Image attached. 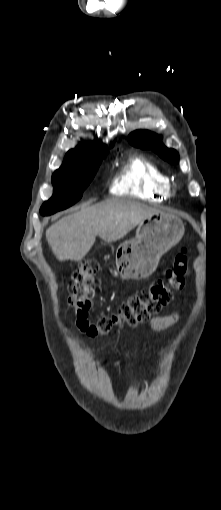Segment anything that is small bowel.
I'll return each instance as SVG.
<instances>
[{"mask_svg": "<svg viewBox=\"0 0 221 510\" xmlns=\"http://www.w3.org/2000/svg\"><path fill=\"white\" fill-rule=\"evenodd\" d=\"M178 318H179L178 313L157 316L149 321V326L154 330H163L175 324ZM115 366L118 368V364H116Z\"/></svg>", "mask_w": 221, "mask_h": 510, "instance_id": "1", "label": "small bowel"}]
</instances>
